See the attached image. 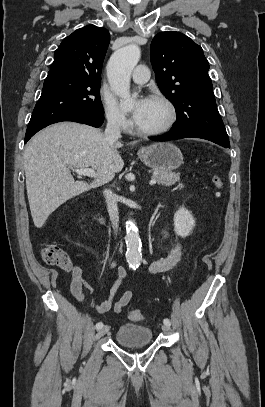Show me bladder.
<instances>
[{"label": "bladder", "mask_w": 265, "mask_h": 407, "mask_svg": "<svg viewBox=\"0 0 265 407\" xmlns=\"http://www.w3.org/2000/svg\"><path fill=\"white\" fill-rule=\"evenodd\" d=\"M115 340L118 344L127 347L145 345L152 340V330L134 323L123 324L117 330Z\"/></svg>", "instance_id": "obj_1"}]
</instances>
